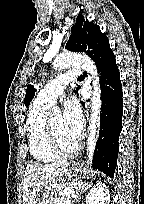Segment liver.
<instances>
[{
	"label": "liver",
	"mask_w": 144,
	"mask_h": 204,
	"mask_svg": "<svg viewBox=\"0 0 144 204\" xmlns=\"http://www.w3.org/2000/svg\"><path fill=\"white\" fill-rule=\"evenodd\" d=\"M69 162L53 164L30 163L27 165L23 182V204H33L39 192L63 180Z\"/></svg>",
	"instance_id": "1"
}]
</instances>
